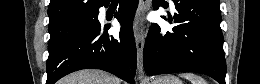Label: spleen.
Returning a JSON list of instances; mask_svg holds the SVG:
<instances>
[{
  "label": "spleen",
  "instance_id": "1",
  "mask_svg": "<svg viewBox=\"0 0 260 84\" xmlns=\"http://www.w3.org/2000/svg\"><path fill=\"white\" fill-rule=\"evenodd\" d=\"M180 77L188 79L191 84H207V81L194 73H182Z\"/></svg>",
  "mask_w": 260,
  "mask_h": 84
}]
</instances>
